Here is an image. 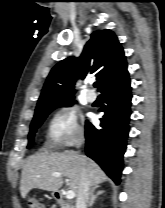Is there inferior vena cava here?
<instances>
[{"label":"inferior vena cava","mask_w":165,"mask_h":208,"mask_svg":"<svg viewBox=\"0 0 165 208\" xmlns=\"http://www.w3.org/2000/svg\"><path fill=\"white\" fill-rule=\"evenodd\" d=\"M82 143H83V138H81L80 141L78 142L77 148L81 147ZM75 154L78 155V152H76ZM89 196H90V184L86 179L83 171L81 188L76 199V208H86L87 203L89 202Z\"/></svg>","instance_id":"obj_1"}]
</instances>
